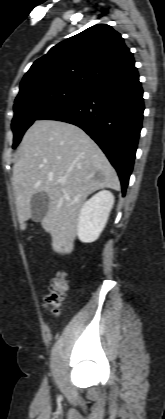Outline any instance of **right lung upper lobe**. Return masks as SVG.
I'll return each mask as SVG.
<instances>
[{"label": "right lung upper lobe", "instance_id": "obj_1", "mask_svg": "<svg viewBox=\"0 0 165 419\" xmlns=\"http://www.w3.org/2000/svg\"><path fill=\"white\" fill-rule=\"evenodd\" d=\"M134 64L121 35L109 25L98 24L60 42L36 60L22 79L17 98L49 87L89 93Z\"/></svg>", "mask_w": 165, "mask_h": 419}]
</instances>
